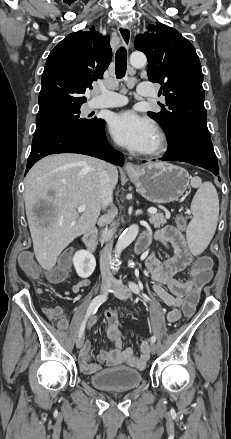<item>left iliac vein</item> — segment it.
<instances>
[{
    "instance_id": "left-iliac-vein-1",
    "label": "left iliac vein",
    "mask_w": 231,
    "mask_h": 439,
    "mask_svg": "<svg viewBox=\"0 0 231 439\" xmlns=\"http://www.w3.org/2000/svg\"><path fill=\"white\" fill-rule=\"evenodd\" d=\"M115 296L122 300H127L131 296V290L124 284L118 283L117 288L115 289ZM150 352L152 354L156 353V345L151 342L150 344Z\"/></svg>"
}]
</instances>
